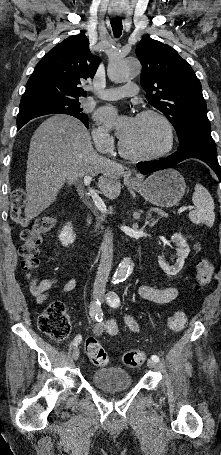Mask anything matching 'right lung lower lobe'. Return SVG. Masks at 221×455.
I'll return each mask as SVG.
<instances>
[{"label": "right lung lower lobe", "mask_w": 221, "mask_h": 455, "mask_svg": "<svg viewBox=\"0 0 221 455\" xmlns=\"http://www.w3.org/2000/svg\"><path fill=\"white\" fill-rule=\"evenodd\" d=\"M29 121V120H28ZM28 121H25L19 125H17V130H19L23 125H25Z\"/></svg>", "instance_id": "right-lung-lower-lobe-1"}]
</instances>
